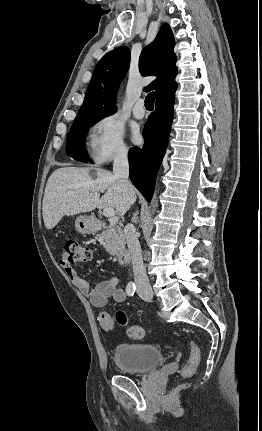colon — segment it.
Listing matches in <instances>:
<instances>
[{
	"mask_svg": "<svg viewBox=\"0 0 262 431\" xmlns=\"http://www.w3.org/2000/svg\"><path fill=\"white\" fill-rule=\"evenodd\" d=\"M65 264H78L85 262L90 257V249L79 241H67L64 245ZM116 321L120 326L127 328V335L131 339L141 340L145 337V330L139 325H129L128 318L124 311L116 313ZM99 322L103 330L111 331L114 328V319L108 313L99 315ZM191 346V352L187 363L183 366L181 374L183 377H191L195 374L201 360L200 350L193 340H188Z\"/></svg>",
	"mask_w": 262,
	"mask_h": 431,
	"instance_id": "1",
	"label": "colon"
}]
</instances>
